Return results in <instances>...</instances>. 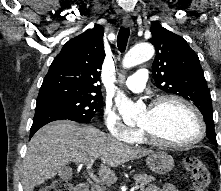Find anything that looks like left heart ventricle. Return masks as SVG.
Masks as SVG:
<instances>
[{"label": "left heart ventricle", "instance_id": "left-heart-ventricle-1", "mask_svg": "<svg viewBox=\"0 0 221 191\" xmlns=\"http://www.w3.org/2000/svg\"><path fill=\"white\" fill-rule=\"evenodd\" d=\"M139 127L155 134L159 139L171 143H183L198 134V124L192 113L181 104L169 101L158 109L143 114Z\"/></svg>", "mask_w": 221, "mask_h": 191}]
</instances>
